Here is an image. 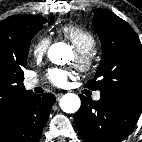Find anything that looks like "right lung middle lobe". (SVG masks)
I'll return each instance as SVG.
<instances>
[{"instance_id":"right-lung-middle-lobe-1","label":"right lung middle lobe","mask_w":142,"mask_h":142,"mask_svg":"<svg viewBox=\"0 0 142 142\" xmlns=\"http://www.w3.org/2000/svg\"><path fill=\"white\" fill-rule=\"evenodd\" d=\"M47 20L44 17L35 16L29 28L24 32L20 40V53H21V64L18 65L17 70L15 73H11L12 77L15 80L23 82L24 79V72L23 68L26 67L27 64V55L29 52L30 41L32 40L33 36L42 29L43 24L46 23ZM8 75L4 73H0V81L5 80Z\"/></svg>"}]
</instances>
